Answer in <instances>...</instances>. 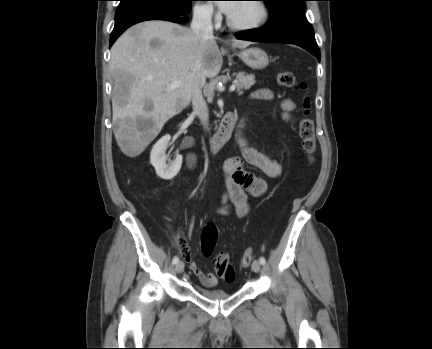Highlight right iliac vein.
Segmentation results:
<instances>
[{"label": "right iliac vein", "mask_w": 432, "mask_h": 349, "mask_svg": "<svg viewBox=\"0 0 432 349\" xmlns=\"http://www.w3.org/2000/svg\"><path fill=\"white\" fill-rule=\"evenodd\" d=\"M175 270H176L177 273L183 272V270H184V263L182 261H179L176 264Z\"/></svg>", "instance_id": "right-iliac-vein-1"}]
</instances>
